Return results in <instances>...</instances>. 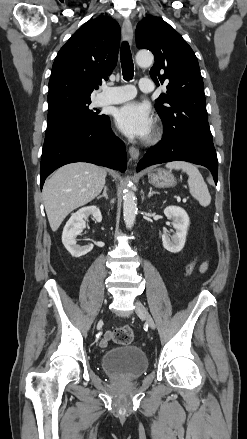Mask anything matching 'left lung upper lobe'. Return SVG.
Masks as SVG:
<instances>
[{
	"label": "left lung upper lobe",
	"mask_w": 247,
	"mask_h": 439,
	"mask_svg": "<svg viewBox=\"0 0 247 439\" xmlns=\"http://www.w3.org/2000/svg\"><path fill=\"white\" fill-rule=\"evenodd\" d=\"M137 47L150 50L155 63L150 76L167 93L156 99L164 132L213 143L207 119L204 84L197 58L182 36L159 17L143 19L136 29Z\"/></svg>",
	"instance_id": "obj_1"
}]
</instances>
